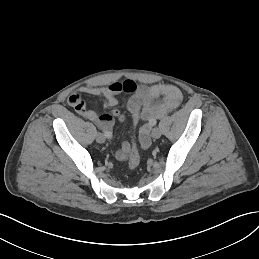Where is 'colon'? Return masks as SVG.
<instances>
[{
	"mask_svg": "<svg viewBox=\"0 0 259 259\" xmlns=\"http://www.w3.org/2000/svg\"><path fill=\"white\" fill-rule=\"evenodd\" d=\"M143 100L142 99H139L138 100V109L143 105ZM140 119V113L139 111H135L133 113V122H134V125H136L138 123ZM140 164V153L137 149V147L135 146V144H133V146L131 147L130 149V153H129V158H128V168L130 170H134L136 169Z\"/></svg>",
	"mask_w": 259,
	"mask_h": 259,
	"instance_id": "1",
	"label": "colon"
}]
</instances>
